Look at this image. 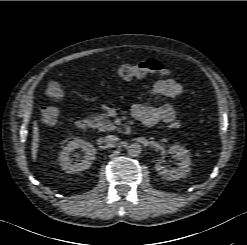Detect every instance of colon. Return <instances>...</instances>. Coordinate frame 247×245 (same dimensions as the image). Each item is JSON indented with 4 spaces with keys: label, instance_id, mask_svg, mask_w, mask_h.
<instances>
[{
    "label": "colon",
    "instance_id": "5ec220e1",
    "mask_svg": "<svg viewBox=\"0 0 247 245\" xmlns=\"http://www.w3.org/2000/svg\"><path fill=\"white\" fill-rule=\"evenodd\" d=\"M117 76L123 79H132L135 77H143L149 74H156L159 76H169L170 70L166 69L162 63L155 59H148L137 62L135 64H123L116 70ZM48 97L60 100L64 97V91L57 82H51L46 89ZM60 111L57 107L47 106L40 111V117L43 123L47 125L55 124L59 118ZM170 127L178 129L181 127V121L178 119L170 122Z\"/></svg>",
    "mask_w": 247,
    "mask_h": 245
}]
</instances>
